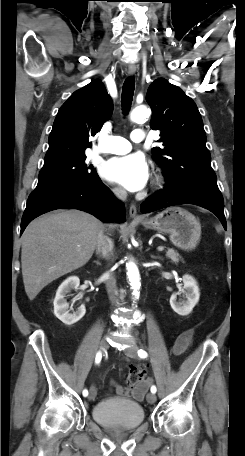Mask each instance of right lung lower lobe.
I'll list each match as a JSON object with an SVG mask.
<instances>
[{
	"instance_id": "1",
	"label": "right lung lower lobe",
	"mask_w": 245,
	"mask_h": 456,
	"mask_svg": "<svg viewBox=\"0 0 245 456\" xmlns=\"http://www.w3.org/2000/svg\"><path fill=\"white\" fill-rule=\"evenodd\" d=\"M75 208L93 214L105 222H124L125 207L117 201L100 178L78 184H68L34 190L21 221V234L36 217L55 209Z\"/></svg>"
}]
</instances>
